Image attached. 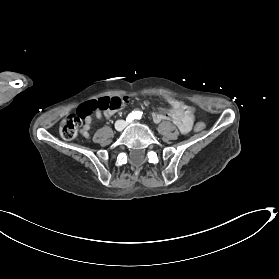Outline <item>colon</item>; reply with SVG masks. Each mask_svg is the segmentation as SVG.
<instances>
[{
  "label": "colon",
  "instance_id": "5ec220e1",
  "mask_svg": "<svg viewBox=\"0 0 279 279\" xmlns=\"http://www.w3.org/2000/svg\"><path fill=\"white\" fill-rule=\"evenodd\" d=\"M128 103L127 97H103L96 100H90L82 103L76 110L75 114L66 116L60 124V134L66 140H73L77 137L82 119H85L95 111H117ZM182 103V102H181ZM187 112L194 116L197 113L195 106L182 103ZM204 122L199 121L195 124V130L201 132L205 129Z\"/></svg>",
  "mask_w": 279,
  "mask_h": 279
}]
</instances>
